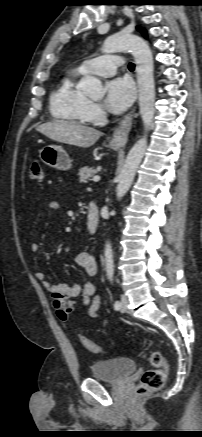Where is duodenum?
Returning a JSON list of instances; mask_svg holds the SVG:
<instances>
[{"label":"duodenum","instance_id":"obj_1","mask_svg":"<svg viewBox=\"0 0 202 437\" xmlns=\"http://www.w3.org/2000/svg\"><path fill=\"white\" fill-rule=\"evenodd\" d=\"M100 221L99 207L95 201H91L88 205L87 230L90 234H94L98 228Z\"/></svg>","mask_w":202,"mask_h":437}]
</instances>
